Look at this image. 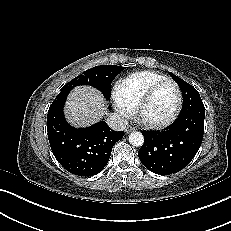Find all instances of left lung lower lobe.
<instances>
[{
  "label": "left lung lower lobe",
  "mask_w": 231,
  "mask_h": 231,
  "mask_svg": "<svg viewBox=\"0 0 231 231\" xmlns=\"http://www.w3.org/2000/svg\"><path fill=\"white\" fill-rule=\"evenodd\" d=\"M204 105L180 112L162 131H141L144 144L138 151L141 163L151 172L170 175L185 168L200 148L204 133Z\"/></svg>",
  "instance_id": "left-lung-lower-lobe-1"
}]
</instances>
